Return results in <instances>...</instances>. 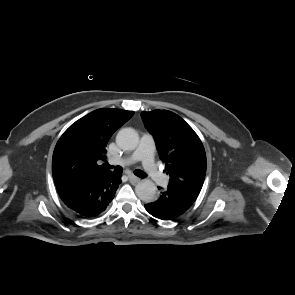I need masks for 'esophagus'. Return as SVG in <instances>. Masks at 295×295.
I'll list each match as a JSON object with an SVG mask.
<instances>
[{"instance_id": "esophagus-1", "label": "esophagus", "mask_w": 295, "mask_h": 295, "mask_svg": "<svg viewBox=\"0 0 295 295\" xmlns=\"http://www.w3.org/2000/svg\"><path fill=\"white\" fill-rule=\"evenodd\" d=\"M128 178H129L130 182H132V183H137L140 181V179L138 177L131 175V174L128 175Z\"/></svg>"}]
</instances>
